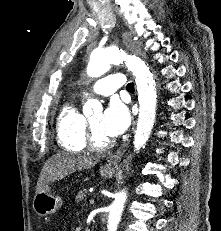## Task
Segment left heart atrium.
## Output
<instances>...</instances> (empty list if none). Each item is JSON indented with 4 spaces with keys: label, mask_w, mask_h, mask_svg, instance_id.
<instances>
[{
    "label": "left heart atrium",
    "mask_w": 221,
    "mask_h": 231,
    "mask_svg": "<svg viewBox=\"0 0 221 231\" xmlns=\"http://www.w3.org/2000/svg\"><path fill=\"white\" fill-rule=\"evenodd\" d=\"M130 123L127 110L119 103H111L102 114L100 130L107 136L115 138L123 134Z\"/></svg>",
    "instance_id": "left-heart-atrium-1"
}]
</instances>
